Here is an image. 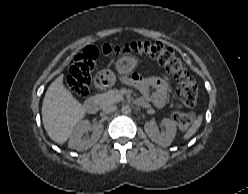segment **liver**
<instances>
[{"label": "liver", "instance_id": "1", "mask_svg": "<svg viewBox=\"0 0 248 194\" xmlns=\"http://www.w3.org/2000/svg\"><path fill=\"white\" fill-rule=\"evenodd\" d=\"M63 75L48 87L42 104V121L49 137L58 144L67 141L85 116V108L63 85Z\"/></svg>", "mask_w": 248, "mask_h": 194}]
</instances>
